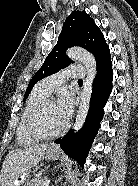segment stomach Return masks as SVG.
<instances>
[{"label": "stomach", "instance_id": "obj_1", "mask_svg": "<svg viewBox=\"0 0 138 186\" xmlns=\"http://www.w3.org/2000/svg\"><path fill=\"white\" fill-rule=\"evenodd\" d=\"M60 155V150L56 147H51L46 150V159L48 160H56L59 158ZM29 176L30 173H24L17 177V179L14 180V184L12 186H29L30 181H29Z\"/></svg>", "mask_w": 138, "mask_h": 186}]
</instances>
